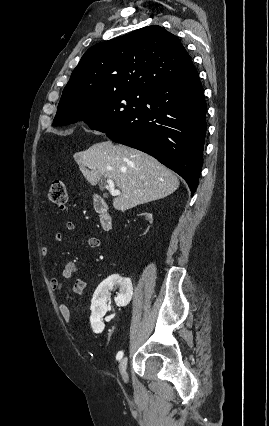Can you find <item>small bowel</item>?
I'll list each match as a JSON object with an SVG mask.
<instances>
[{
	"instance_id": "1",
	"label": "small bowel",
	"mask_w": 269,
	"mask_h": 426,
	"mask_svg": "<svg viewBox=\"0 0 269 426\" xmlns=\"http://www.w3.org/2000/svg\"><path fill=\"white\" fill-rule=\"evenodd\" d=\"M66 230L67 231H73L75 229V224L71 221L66 222L65 224ZM63 234L62 233H56L54 236V241L56 243H59L61 241H63ZM86 244L90 247V248H99L101 245V241L99 238L94 237V236H90L88 238H86ZM50 253V247L49 246H44L42 247V254L44 256H47ZM76 271V264L72 261H67L63 268L61 269L59 276L58 277H51L49 280V284H50V288L53 292V294L55 295L56 298L61 299L62 298V292H63V288L65 283L71 278L72 274ZM87 286V282L84 279H77L74 283L73 286V292L75 294H81L85 288ZM59 311L61 314V317L63 318V320L67 323L71 322L72 320V315H71V311L70 308L67 304L65 303H61L59 305Z\"/></svg>"
}]
</instances>
